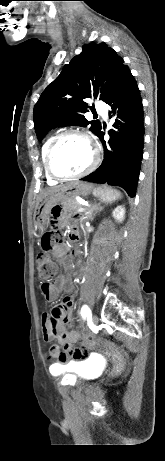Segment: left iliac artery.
I'll use <instances>...</instances> for the list:
<instances>
[{
	"instance_id": "44dca946",
	"label": "left iliac artery",
	"mask_w": 165,
	"mask_h": 461,
	"mask_svg": "<svg viewBox=\"0 0 165 461\" xmlns=\"http://www.w3.org/2000/svg\"><path fill=\"white\" fill-rule=\"evenodd\" d=\"M87 312H89L88 307H87V306H83L82 309H81V315H82L83 318L86 317Z\"/></svg>"
}]
</instances>
